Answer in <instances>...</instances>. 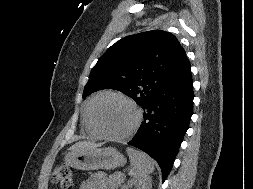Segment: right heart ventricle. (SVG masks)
I'll use <instances>...</instances> for the list:
<instances>
[{"label": "right heart ventricle", "mask_w": 253, "mask_h": 189, "mask_svg": "<svg viewBox=\"0 0 253 189\" xmlns=\"http://www.w3.org/2000/svg\"><path fill=\"white\" fill-rule=\"evenodd\" d=\"M92 100H93V98L88 100L83 107L82 125H83L84 130L86 131L87 134H89L90 136H93V137H97V136H99V134L92 127V125L90 123V119H89V108L91 106Z\"/></svg>", "instance_id": "right-heart-ventricle-1"}]
</instances>
